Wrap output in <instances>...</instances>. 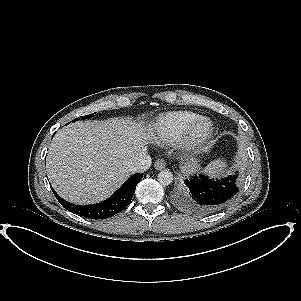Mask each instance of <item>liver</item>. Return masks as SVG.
Returning a JSON list of instances; mask_svg holds the SVG:
<instances>
[{
    "mask_svg": "<svg viewBox=\"0 0 301 301\" xmlns=\"http://www.w3.org/2000/svg\"><path fill=\"white\" fill-rule=\"evenodd\" d=\"M152 139V131L123 118L75 122L59 130L49 146L48 178L63 199L98 203L133 174L130 167Z\"/></svg>",
    "mask_w": 301,
    "mask_h": 301,
    "instance_id": "1",
    "label": "liver"
}]
</instances>
